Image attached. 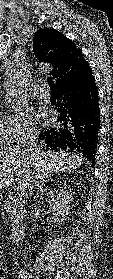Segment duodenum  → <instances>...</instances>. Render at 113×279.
<instances>
[{"instance_id":"duodenum-1","label":"duodenum","mask_w":113,"mask_h":279,"mask_svg":"<svg viewBox=\"0 0 113 279\" xmlns=\"http://www.w3.org/2000/svg\"><path fill=\"white\" fill-rule=\"evenodd\" d=\"M24 235H25V226L21 223L16 224L11 231L12 240L15 243H18L23 239Z\"/></svg>"}]
</instances>
